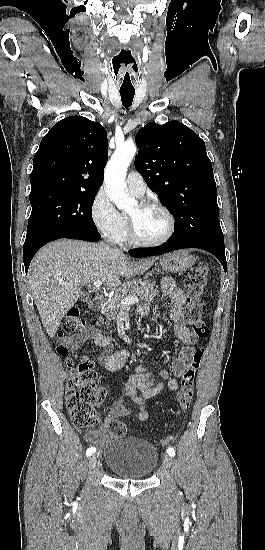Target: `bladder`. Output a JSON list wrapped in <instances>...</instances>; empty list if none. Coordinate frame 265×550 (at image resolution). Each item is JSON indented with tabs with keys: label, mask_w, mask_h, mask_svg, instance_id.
I'll return each instance as SVG.
<instances>
[{
	"label": "bladder",
	"mask_w": 265,
	"mask_h": 550,
	"mask_svg": "<svg viewBox=\"0 0 265 550\" xmlns=\"http://www.w3.org/2000/svg\"><path fill=\"white\" fill-rule=\"evenodd\" d=\"M107 468L116 476L145 479L156 468L159 453L149 442L129 436H113L104 454Z\"/></svg>",
	"instance_id": "31cf9c89"
}]
</instances>
